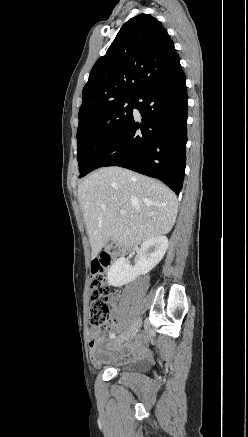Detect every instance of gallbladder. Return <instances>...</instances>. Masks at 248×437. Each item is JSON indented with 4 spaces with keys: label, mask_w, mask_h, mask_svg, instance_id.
Returning <instances> with one entry per match:
<instances>
[{
    "label": "gallbladder",
    "mask_w": 248,
    "mask_h": 437,
    "mask_svg": "<svg viewBox=\"0 0 248 437\" xmlns=\"http://www.w3.org/2000/svg\"><path fill=\"white\" fill-rule=\"evenodd\" d=\"M112 244H113V242L111 241L109 245H112Z\"/></svg>",
    "instance_id": "gallbladder-1"
}]
</instances>
